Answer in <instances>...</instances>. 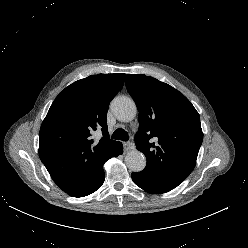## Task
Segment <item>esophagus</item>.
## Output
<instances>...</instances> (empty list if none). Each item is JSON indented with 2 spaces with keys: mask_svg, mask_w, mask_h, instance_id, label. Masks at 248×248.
<instances>
[{
  "mask_svg": "<svg viewBox=\"0 0 248 248\" xmlns=\"http://www.w3.org/2000/svg\"><path fill=\"white\" fill-rule=\"evenodd\" d=\"M123 146H124V151L126 153L134 150V148H135V145L132 142H125L123 144Z\"/></svg>",
  "mask_w": 248,
  "mask_h": 248,
  "instance_id": "1",
  "label": "esophagus"
}]
</instances>
